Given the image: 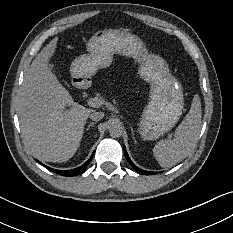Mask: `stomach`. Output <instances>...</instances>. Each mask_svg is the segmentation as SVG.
Masks as SVG:
<instances>
[{"mask_svg": "<svg viewBox=\"0 0 233 233\" xmlns=\"http://www.w3.org/2000/svg\"><path fill=\"white\" fill-rule=\"evenodd\" d=\"M87 53L77 56L70 65V74L76 78V87L85 85V80L101 68H108L115 53L141 60L138 73L152 84L150 103L144 111L141 128L146 138H156L178 120L183 105L179 83L170 77L164 61L155 55H147L141 40L120 29L96 32L86 43Z\"/></svg>", "mask_w": 233, "mask_h": 233, "instance_id": "obj_1", "label": "stomach"}]
</instances>
